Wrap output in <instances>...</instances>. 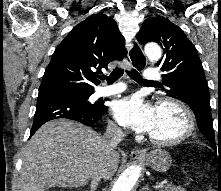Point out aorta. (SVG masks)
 Returning a JSON list of instances; mask_svg holds the SVG:
<instances>
[{
	"label": "aorta",
	"instance_id": "1",
	"mask_svg": "<svg viewBox=\"0 0 221 191\" xmlns=\"http://www.w3.org/2000/svg\"><path fill=\"white\" fill-rule=\"evenodd\" d=\"M145 54L149 61L157 62L161 56V48L156 43H149L145 46ZM141 174V167L138 165H131L125 169L115 184L112 187V191H131L136 184Z\"/></svg>",
	"mask_w": 221,
	"mask_h": 191
}]
</instances>
